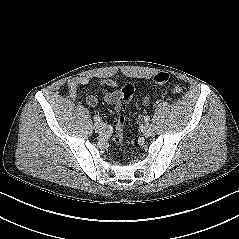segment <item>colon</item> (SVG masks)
<instances>
[{
  "label": "colon",
  "mask_w": 239,
  "mask_h": 239,
  "mask_svg": "<svg viewBox=\"0 0 239 239\" xmlns=\"http://www.w3.org/2000/svg\"><path fill=\"white\" fill-rule=\"evenodd\" d=\"M170 76L168 73L159 72L153 77V83L156 85H166L169 82ZM172 90L174 93H180L182 88L178 84H174L172 86ZM122 98L124 101V107L132 100L135 90L131 84H126L122 88ZM124 128H125V117L123 115H119L117 118L115 133H114V141L117 144H121L124 140Z\"/></svg>",
  "instance_id": "colon-1"
}]
</instances>
